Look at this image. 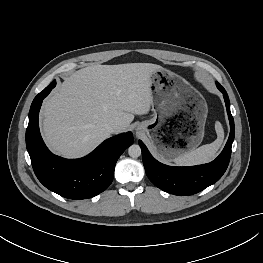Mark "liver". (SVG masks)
Masks as SVG:
<instances>
[{
    "mask_svg": "<svg viewBox=\"0 0 263 263\" xmlns=\"http://www.w3.org/2000/svg\"><path fill=\"white\" fill-rule=\"evenodd\" d=\"M151 63L94 65L74 72L43 102V137L57 154L84 156L107 139L106 124L125 131L152 104Z\"/></svg>",
    "mask_w": 263,
    "mask_h": 263,
    "instance_id": "1",
    "label": "liver"
}]
</instances>
